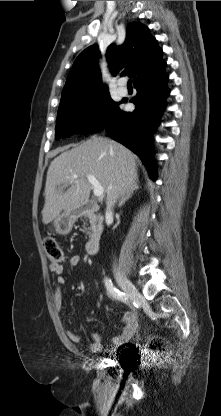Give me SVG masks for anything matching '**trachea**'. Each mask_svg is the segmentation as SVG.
<instances>
[{
  "label": "trachea",
  "instance_id": "trachea-1",
  "mask_svg": "<svg viewBox=\"0 0 221 416\" xmlns=\"http://www.w3.org/2000/svg\"><path fill=\"white\" fill-rule=\"evenodd\" d=\"M127 86L132 87V80L131 79L128 80Z\"/></svg>",
  "mask_w": 221,
  "mask_h": 416
}]
</instances>
